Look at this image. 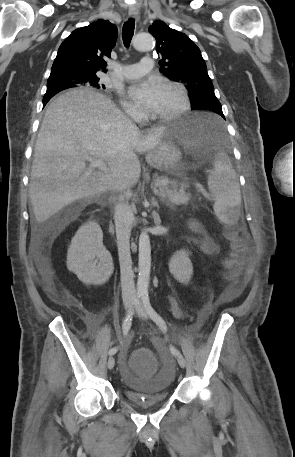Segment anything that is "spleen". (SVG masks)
<instances>
[{
	"label": "spleen",
	"instance_id": "1",
	"mask_svg": "<svg viewBox=\"0 0 295 457\" xmlns=\"http://www.w3.org/2000/svg\"><path fill=\"white\" fill-rule=\"evenodd\" d=\"M212 166L213 169L208 176V187L215 201V215L220 222L233 224L237 220L241 205L237 175L223 152L215 154Z\"/></svg>",
	"mask_w": 295,
	"mask_h": 457
}]
</instances>
